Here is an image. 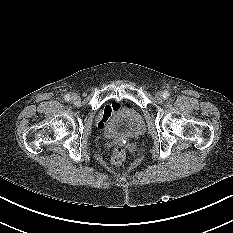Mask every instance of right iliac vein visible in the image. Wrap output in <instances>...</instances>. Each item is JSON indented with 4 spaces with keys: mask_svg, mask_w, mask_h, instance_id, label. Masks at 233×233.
Returning a JSON list of instances; mask_svg holds the SVG:
<instances>
[{
    "mask_svg": "<svg viewBox=\"0 0 233 233\" xmlns=\"http://www.w3.org/2000/svg\"><path fill=\"white\" fill-rule=\"evenodd\" d=\"M71 100H72L74 103H77V102L80 101V96H79L78 94H72Z\"/></svg>",
    "mask_w": 233,
    "mask_h": 233,
    "instance_id": "1",
    "label": "right iliac vein"
}]
</instances>
